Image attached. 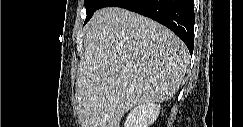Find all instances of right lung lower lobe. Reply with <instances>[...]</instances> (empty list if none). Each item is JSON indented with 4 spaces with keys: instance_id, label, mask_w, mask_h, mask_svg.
<instances>
[{
    "instance_id": "1",
    "label": "right lung lower lobe",
    "mask_w": 243,
    "mask_h": 127,
    "mask_svg": "<svg viewBox=\"0 0 243 127\" xmlns=\"http://www.w3.org/2000/svg\"><path fill=\"white\" fill-rule=\"evenodd\" d=\"M110 6L139 13L165 25L193 53L194 0H105L100 8Z\"/></svg>"
}]
</instances>
